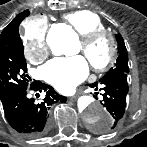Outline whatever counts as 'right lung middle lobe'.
<instances>
[{
	"label": "right lung middle lobe",
	"instance_id": "dd1d6c3e",
	"mask_svg": "<svg viewBox=\"0 0 147 147\" xmlns=\"http://www.w3.org/2000/svg\"><path fill=\"white\" fill-rule=\"evenodd\" d=\"M28 15V10L20 13L0 35V97L28 86L25 78L27 64L18 30L21 21Z\"/></svg>",
	"mask_w": 147,
	"mask_h": 147
}]
</instances>
